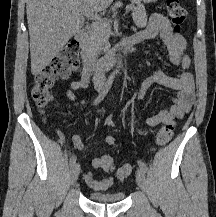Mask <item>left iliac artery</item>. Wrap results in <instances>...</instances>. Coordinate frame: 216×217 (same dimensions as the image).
<instances>
[{"mask_svg":"<svg viewBox=\"0 0 216 217\" xmlns=\"http://www.w3.org/2000/svg\"><path fill=\"white\" fill-rule=\"evenodd\" d=\"M138 165L144 172L148 171V167L143 161H138Z\"/></svg>","mask_w":216,"mask_h":217,"instance_id":"44dca946","label":"left iliac artery"}]
</instances>
